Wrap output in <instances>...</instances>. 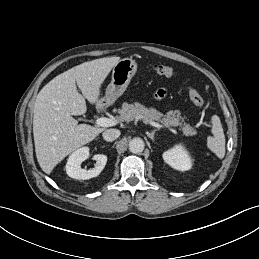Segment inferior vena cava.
Returning a JSON list of instances; mask_svg holds the SVG:
<instances>
[{
    "label": "inferior vena cava",
    "instance_id": "inferior-vena-cava-1",
    "mask_svg": "<svg viewBox=\"0 0 259 259\" xmlns=\"http://www.w3.org/2000/svg\"><path fill=\"white\" fill-rule=\"evenodd\" d=\"M120 136V131L117 129H108L103 132L104 140L111 142Z\"/></svg>",
    "mask_w": 259,
    "mask_h": 259
}]
</instances>
